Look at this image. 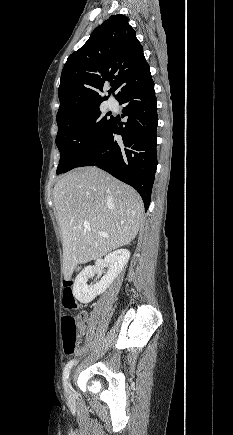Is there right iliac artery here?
<instances>
[{"instance_id": "1", "label": "right iliac artery", "mask_w": 233, "mask_h": 435, "mask_svg": "<svg viewBox=\"0 0 233 435\" xmlns=\"http://www.w3.org/2000/svg\"><path fill=\"white\" fill-rule=\"evenodd\" d=\"M75 362H76V360H71L70 362L67 363V365L65 366V368L63 370V381H64V386H65L66 391H67V384H68L67 379L69 377L70 370H71L72 366L75 364Z\"/></svg>"}]
</instances>
